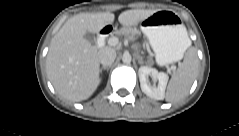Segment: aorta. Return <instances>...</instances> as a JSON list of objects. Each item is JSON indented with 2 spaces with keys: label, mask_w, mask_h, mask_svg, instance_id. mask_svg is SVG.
<instances>
[{
  "label": "aorta",
  "mask_w": 239,
  "mask_h": 136,
  "mask_svg": "<svg viewBox=\"0 0 239 136\" xmlns=\"http://www.w3.org/2000/svg\"><path fill=\"white\" fill-rule=\"evenodd\" d=\"M122 61L124 63H130L132 61V56L128 52H126L122 56Z\"/></svg>",
  "instance_id": "obj_1"
}]
</instances>
